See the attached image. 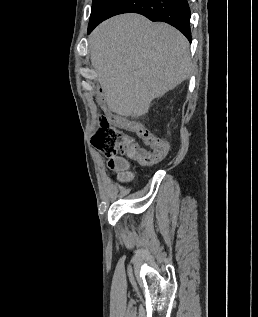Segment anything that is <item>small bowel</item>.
Returning <instances> with one entry per match:
<instances>
[{"label": "small bowel", "mask_w": 258, "mask_h": 317, "mask_svg": "<svg viewBox=\"0 0 258 317\" xmlns=\"http://www.w3.org/2000/svg\"><path fill=\"white\" fill-rule=\"evenodd\" d=\"M116 125L136 133L137 136L144 142V144L150 147L151 150L162 152L163 159L169 153V143L161 137L155 135L140 121L132 118L120 117L116 122ZM109 166L118 173V177L121 181L128 182L132 179V174L128 171V162L124 159L119 157L111 159L109 161Z\"/></svg>", "instance_id": "obj_1"}]
</instances>
